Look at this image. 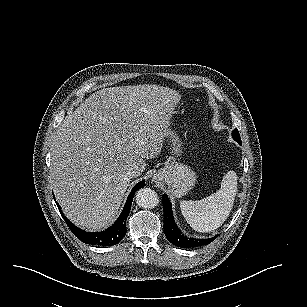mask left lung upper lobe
I'll return each mask as SVG.
<instances>
[{"mask_svg":"<svg viewBox=\"0 0 307 307\" xmlns=\"http://www.w3.org/2000/svg\"><path fill=\"white\" fill-rule=\"evenodd\" d=\"M232 136H233V139H234L236 142H238L239 144H242V143H241L240 134H239V132H238L237 129L233 130Z\"/></svg>","mask_w":307,"mask_h":307,"instance_id":"5c2ea615","label":"left lung upper lobe"}]
</instances>
